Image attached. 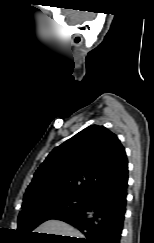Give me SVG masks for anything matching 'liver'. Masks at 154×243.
Returning <instances> with one entry per match:
<instances>
[{
	"instance_id": "liver-1",
	"label": "liver",
	"mask_w": 154,
	"mask_h": 243,
	"mask_svg": "<svg viewBox=\"0 0 154 243\" xmlns=\"http://www.w3.org/2000/svg\"><path fill=\"white\" fill-rule=\"evenodd\" d=\"M35 232L83 238V235L74 227L59 220H49L35 229Z\"/></svg>"
}]
</instances>
